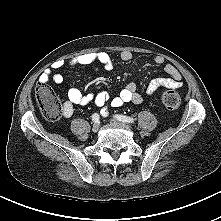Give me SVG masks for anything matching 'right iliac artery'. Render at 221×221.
Masks as SVG:
<instances>
[{
  "instance_id": "1",
  "label": "right iliac artery",
  "mask_w": 221,
  "mask_h": 221,
  "mask_svg": "<svg viewBox=\"0 0 221 221\" xmlns=\"http://www.w3.org/2000/svg\"><path fill=\"white\" fill-rule=\"evenodd\" d=\"M92 120H93L95 123H98L99 120H100V116H99L97 113H95V114L92 115Z\"/></svg>"
}]
</instances>
